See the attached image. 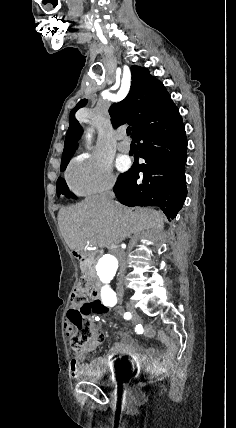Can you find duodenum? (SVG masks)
I'll use <instances>...</instances> for the list:
<instances>
[{"mask_svg": "<svg viewBox=\"0 0 236 428\" xmlns=\"http://www.w3.org/2000/svg\"><path fill=\"white\" fill-rule=\"evenodd\" d=\"M74 255L76 257V259L78 260V262L83 265L86 257L82 252H74ZM102 289L101 286L98 284H93L91 287V294L93 295V297H95L96 299H100L102 297Z\"/></svg>", "mask_w": 236, "mask_h": 428, "instance_id": "410a0bca", "label": "duodenum"}]
</instances>
